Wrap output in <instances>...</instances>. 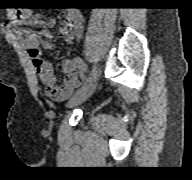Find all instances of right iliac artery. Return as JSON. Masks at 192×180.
I'll return each mask as SVG.
<instances>
[{
	"label": "right iliac artery",
	"instance_id": "obj_1",
	"mask_svg": "<svg viewBox=\"0 0 192 180\" xmlns=\"http://www.w3.org/2000/svg\"><path fill=\"white\" fill-rule=\"evenodd\" d=\"M96 75H97V71H96V68L94 67L92 69V71L90 72L89 76L87 77L86 82H85L84 85L91 82L96 77Z\"/></svg>",
	"mask_w": 192,
	"mask_h": 180
}]
</instances>
